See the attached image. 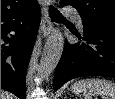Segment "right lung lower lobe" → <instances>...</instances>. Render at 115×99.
<instances>
[{
	"instance_id": "right-lung-lower-lobe-1",
	"label": "right lung lower lobe",
	"mask_w": 115,
	"mask_h": 99,
	"mask_svg": "<svg viewBox=\"0 0 115 99\" xmlns=\"http://www.w3.org/2000/svg\"><path fill=\"white\" fill-rule=\"evenodd\" d=\"M40 19L37 1L1 16V88L20 99H26V72Z\"/></svg>"
}]
</instances>
